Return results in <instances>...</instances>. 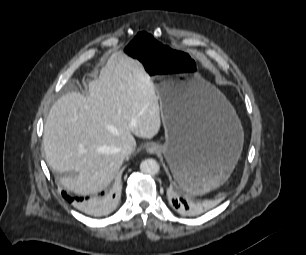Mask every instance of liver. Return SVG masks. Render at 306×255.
I'll return each mask as SVG.
<instances>
[{
    "label": "liver",
    "instance_id": "liver-1",
    "mask_svg": "<svg viewBox=\"0 0 306 255\" xmlns=\"http://www.w3.org/2000/svg\"><path fill=\"white\" fill-rule=\"evenodd\" d=\"M88 88L87 95L73 91L59 98L43 133L47 163L66 174L61 185L79 195L110 184L125 159L120 148L136 146L133 134L151 139L161 127L154 83L125 53H113Z\"/></svg>",
    "mask_w": 306,
    "mask_h": 255
}]
</instances>
